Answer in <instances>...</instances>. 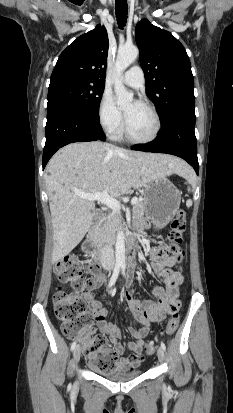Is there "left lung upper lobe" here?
<instances>
[{
	"mask_svg": "<svg viewBox=\"0 0 233 413\" xmlns=\"http://www.w3.org/2000/svg\"><path fill=\"white\" fill-rule=\"evenodd\" d=\"M135 38L146 89L162 124L177 115L195 118L194 80L183 45L146 19L136 25Z\"/></svg>",
	"mask_w": 233,
	"mask_h": 413,
	"instance_id": "left-lung-upper-lobe-1",
	"label": "left lung upper lobe"
}]
</instances>
